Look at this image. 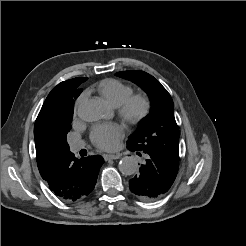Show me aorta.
I'll list each match as a JSON object with an SVG mask.
<instances>
[{"label":"aorta","mask_w":246,"mask_h":246,"mask_svg":"<svg viewBox=\"0 0 246 246\" xmlns=\"http://www.w3.org/2000/svg\"><path fill=\"white\" fill-rule=\"evenodd\" d=\"M77 112L83 121H98L103 115V105L98 99H86L79 104ZM118 168L124 175H133L138 171L139 166L135 158L125 156L120 160Z\"/></svg>","instance_id":"762f6f07"}]
</instances>
